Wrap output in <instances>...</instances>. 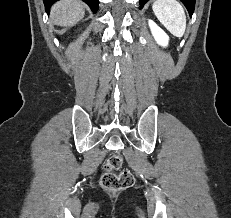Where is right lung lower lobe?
I'll list each match as a JSON object with an SVG mask.
<instances>
[{"label":"right lung lower lobe","instance_id":"right-lung-lower-lobe-1","mask_svg":"<svg viewBox=\"0 0 231 218\" xmlns=\"http://www.w3.org/2000/svg\"><path fill=\"white\" fill-rule=\"evenodd\" d=\"M45 4L46 11H49L50 6L57 0H43ZM89 5L91 10L96 13L98 10V1L99 0H82Z\"/></svg>","mask_w":231,"mask_h":218}]
</instances>
